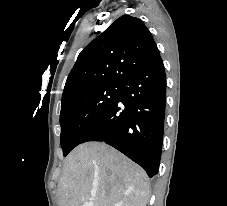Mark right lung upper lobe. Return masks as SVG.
<instances>
[{
	"label": "right lung upper lobe",
	"mask_w": 227,
	"mask_h": 206,
	"mask_svg": "<svg viewBox=\"0 0 227 206\" xmlns=\"http://www.w3.org/2000/svg\"><path fill=\"white\" fill-rule=\"evenodd\" d=\"M159 57L143 21L123 15L81 51L66 80L62 100L94 86L122 83Z\"/></svg>",
	"instance_id": "obj_1"
}]
</instances>
